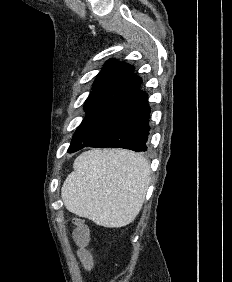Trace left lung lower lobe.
Masks as SVG:
<instances>
[{
  "label": "left lung lower lobe",
  "instance_id": "0a47b994",
  "mask_svg": "<svg viewBox=\"0 0 232 282\" xmlns=\"http://www.w3.org/2000/svg\"><path fill=\"white\" fill-rule=\"evenodd\" d=\"M141 78L132 74L99 115L90 138L70 146L73 153L84 147H117L146 151L150 107L147 93L140 90Z\"/></svg>",
  "mask_w": 232,
  "mask_h": 282
}]
</instances>
